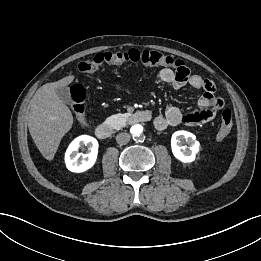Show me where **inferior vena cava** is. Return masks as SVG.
Returning <instances> with one entry per match:
<instances>
[{
  "label": "inferior vena cava",
  "instance_id": "602c4592",
  "mask_svg": "<svg viewBox=\"0 0 261 261\" xmlns=\"http://www.w3.org/2000/svg\"><path fill=\"white\" fill-rule=\"evenodd\" d=\"M116 141L120 145H125L130 141V134L129 133H119L116 136Z\"/></svg>",
  "mask_w": 261,
  "mask_h": 261
}]
</instances>
